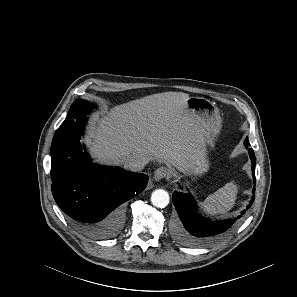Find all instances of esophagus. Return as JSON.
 <instances>
[{"label": "esophagus", "instance_id": "34e87169", "mask_svg": "<svg viewBox=\"0 0 297 297\" xmlns=\"http://www.w3.org/2000/svg\"><path fill=\"white\" fill-rule=\"evenodd\" d=\"M169 175V171L166 167H159L154 173V180L160 181Z\"/></svg>", "mask_w": 297, "mask_h": 297}]
</instances>
